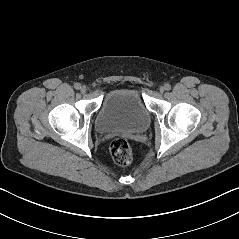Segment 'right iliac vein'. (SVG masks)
Segmentation results:
<instances>
[{"mask_svg": "<svg viewBox=\"0 0 239 239\" xmlns=\"http://www.w3.org/2000/svg\"><path fill=\"white\" fill-rule=\"evenodd\" d=\"M80 91H81V93H86L87 88H86L85 86H82V87L80 88Z\"/></svg>", "mask_w": 239, "mask_h": 239, "instance_id": "obj_1", "label": "right iliac vein"}]
</instances>
